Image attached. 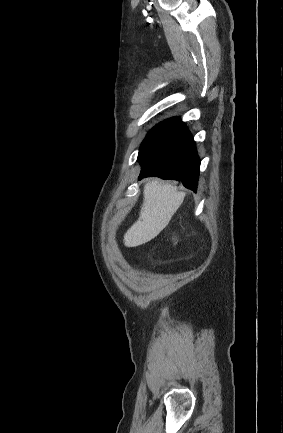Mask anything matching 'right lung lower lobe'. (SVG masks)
<instances>
[{
    "mask_svg": "<svg viewBox=\"0 0 283 433\" xmlns=\"http://www.w3.org/2000/svg\"><path fill=\"white\" fill-rule=\"evenodd\" d=\"M139 180L158 176L181 181L196 191L200 160L195 142L180 118L165 120L152 128L141 144Z\"/></svg>",
    "mask_w": 283,
    "mask_h": 433,
    "instance_id": "1",
    "label": "right lung lower lobe"
}]
</instances>
